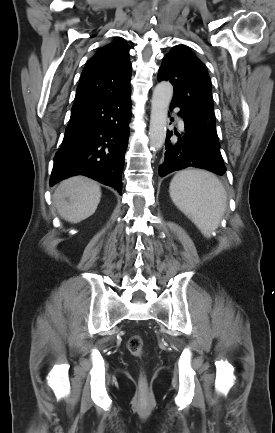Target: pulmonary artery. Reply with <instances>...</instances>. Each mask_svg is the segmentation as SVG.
<instances>
[{
    "label": "pulmonary artery",
    "mask_w": 275,
    "mask_h": 433,
    "mask_svg": "<svg viewBox=\"0 0 275 433\" xmlns=\"http://www.w3.org/2000/svg\"><path fill=\"white\" fill-rule=\"evenodd\" d=\"M179 126H180V127H183V126H184V123H183L182 118H179Z\"/></svg>",
    "instance_id": "e3ab8cb5"
}]
</instances>
